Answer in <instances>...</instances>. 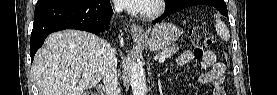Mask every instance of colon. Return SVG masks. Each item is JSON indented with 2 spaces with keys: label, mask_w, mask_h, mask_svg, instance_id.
I'll return each instance as SVG.
<instances>
[{
  "label": "colon",
  "mask_w": 277,
  "mask_h": 95,
  "mask_svg": "<svg viewBox=\"0 0 277 95\" xmlns=\"http://www.w3.org/2000/svg\"><path fill=\"white\" fill-rule=\"evenodd\" d=\"M193 51L196 56H200L202 53L208 50V48L214 42L213 36L203 27H194L189 32ZM87 95H93L88 93Z\"/></svg>",
  "instance_id": "obj_1"
}]
</instances>
